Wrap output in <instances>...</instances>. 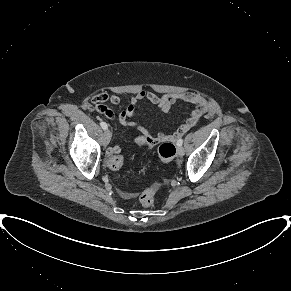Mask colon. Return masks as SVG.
<instances>
[{
    "mask_svg": "<svg viewBox=\"0 0 291 291\" xmlns=\"http://www.w3.org/2000/svg\"><path fill=\"white\" fill-rule=\"evenodd\" d=\"M159 158L168 162L172 160L176 155V147L173 142L167 141L160 145L158 150ZM124 162V157L121 152H115L109 155L108 157V167L111 170L117 171L119 170ZM157 188L152 186L140 195V203L143 207H151L154 203V198L156 194Z\"/></svg>",
    "mask_w": 291,
    "mask_h": 291,
    "instance_id": "colon-1",
    "label": "colon"
}]
</instances>
